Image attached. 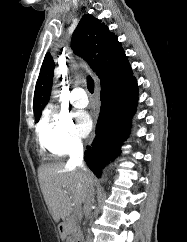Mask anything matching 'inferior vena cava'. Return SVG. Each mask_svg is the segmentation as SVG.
Here are the masks:
<instances>
[{
    "label": "inferior vena cava",
    "mask_w": 187,
    "mask_h": 242,
    "mask_svg": "<svg viewBox=\"0 0 187 242\" xmlns=\"http://www.w3.org/2000/svg\"><path fill=\"white\" fill-rule=\"evenodd\" d=\"M69 166H79L84 171L86 168L83 164V144L81 140H74L71 149H70V159L68 161ZM94 188L91 187L88 190L87 197L84 203V212L86 218H88L91 214L92 205L94 204ZM84 242H92L90 231L88 230V234L86 236V240Z\"/></svg>",
    "instance_id": "1"
}]
</instances>
